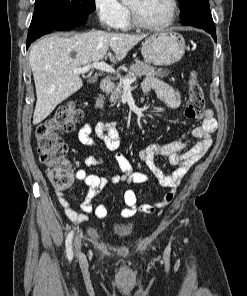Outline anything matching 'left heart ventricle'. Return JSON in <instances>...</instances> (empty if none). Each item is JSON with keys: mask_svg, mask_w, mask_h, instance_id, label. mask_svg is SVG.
<instances>
[{"mask_svg": "<svg viewBox=\"0 0 247 296\" xmlns=\"http://www.w3.org/2000/svg\"><path fill=\"white\" fill-rule=\"evenodd\" d=\"M141 21L148 24L164 22L170 11L168 0H128Z\"/></svg>", "mask_w": 247, "mask_h": 296, "instance_id": "b2bd125f", "label": "left heart ventricle"}]
</instances>
